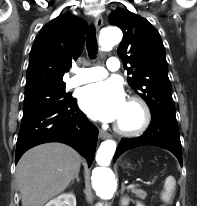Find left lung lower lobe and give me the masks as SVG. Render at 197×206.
I'll list each match as a JSON object with an SVG mask.
<instances>
[{"label":"left lung lower lobe","mask_w":197,"mask_h":206,"mask_svg":"<svg viewBox=\"0 0 197 206\" xmlns=\"http://www.w3.org/2000/svg\"><path fill=\"white\" fill-rule=\"evenodd\" d=\"M143 145H153L169 150L182 166V148L176 117L167 114L152 115V121L142 136L121 139L114 160L124 151Z\"/></svg>","instance_id":"left-lung-lower-lobe-1"}]
</instances>
